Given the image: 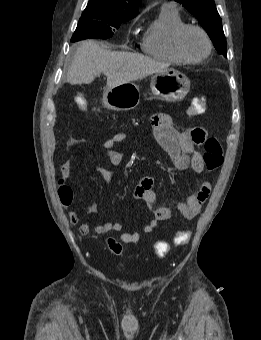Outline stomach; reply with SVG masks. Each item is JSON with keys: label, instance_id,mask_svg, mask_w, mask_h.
<instances>
[{"label": "stomach", "instance_id": "obj_1", "mask_svg": "<svg viewBox=\"0 0 261 340\" xmlns=\"http://www.w3.org/2000/svg\"><path fill=\"white\" fill-rule=\"evenodd\" d=\"M150 88V98L177 102L184 99L190 91V80L183 73L170 68L156 73L151 79ZM140 96L139 87L133 82H128L105 88L102 101L107 109L128 111L137 107Z\"/></svg>", "mask_w": 261, "mask_h": 340}]
</instances>
